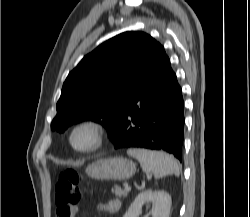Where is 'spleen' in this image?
I'll use <instances>...</instances> for the list:
<instances>
[{
	"label": "spleen",
	"instance_id": "obj_1",
	"mask_svg": "<svg viewBox=\"0 0 250 217\" xmlns=\"http://www.w3.org/2000/svg\"><path fill=\"white\" fill-rule=\"evenodd\" d=\"M127 154L136 158L142 170L154 174L156 179L170 174L179 175L177 160L165 152L133 148L128 149Z\"/></svg>",
	"mask_w": 250,
	"mask_h": 217
}]
</instances>
